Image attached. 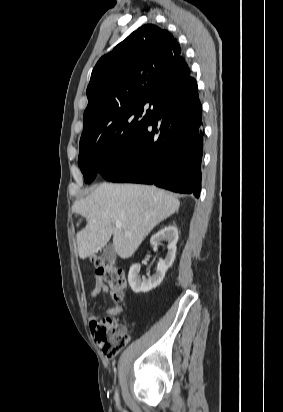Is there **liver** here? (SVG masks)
<instances>
[{
  "label": "liver",
  "instance_id": "liver-1",
  "mask_svg": "<svg viewBox=\"0 0 283 412\" xmlns=\"http://www.w3.org/2000/svg\"><path fill=\"white\" fill-rule=\"evenodd\" d=\"M179 207L175 196L154 186L102 183L73 204V212L87 221L76 236L78 255L81 259L93 256L113 236L117 255L129 258L153 228ZM116 221L121 228L114 226Z\"/></svg>",
  "mask_w": 283,
  "mask_h": 412
}]
</instances>
